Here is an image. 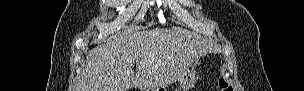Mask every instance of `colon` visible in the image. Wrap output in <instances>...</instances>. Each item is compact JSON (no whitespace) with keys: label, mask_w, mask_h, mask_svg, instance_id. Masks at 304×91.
<instances>
[{"label":"colon","mask_w":304,"mask_h":91,"mask_svg":"<svg viewBox=\"0 0 304 91\" xmlns=\"http://www.w3.org/2000/svg\"><path fill=\"white\" fill-rule=\"evenodd\" d=\"M219 89L221 91H231L232 90V88L223 79L219 80Z\"/></svg>","instance_id":"5ec220e1"}]
</instances>
